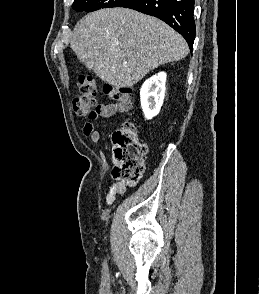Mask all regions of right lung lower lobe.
<instances>
[{
  "instance_id": "right-lung-lower-lobe-1",
  "label": "right lung lower lobe",
  "mask_w": 259,
  "mask_h": 294,
  "mask_svg": "<svg viewBox=\"0 0 259 294\" xmlns=\"http://www.w3.org/2000/svg\"><path fill=\"white\" fill-rule=\"evenodd\" d=\"M119 7L163 20L185 38L192 51L195 39L194 0H128Z\"/></svg>"
}]
</instances>
